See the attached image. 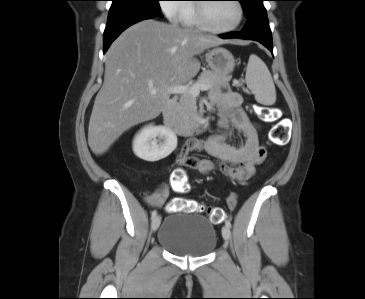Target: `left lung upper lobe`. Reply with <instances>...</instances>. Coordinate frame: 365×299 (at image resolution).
<instances>
[{"instance_id":"left-lung-upper-lobe-1","label":"left lung upper lobe","mask_w":365,"mask_h":299,"mask_svg":"<svg viewBox=\"0 0 365 299\" xmlns=\"http://www.w3.org/2000/svg\"><path fill=\"white\" fill-rule=\"evenodd\" d=\"M244 10L246 18H250L255 13L264 10L262 1L264 0H238Z\"/></svg>"}]
</instances>
